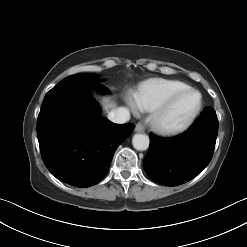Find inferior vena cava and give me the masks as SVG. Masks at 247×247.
Listing matches in <instances>:
<instances>
[{"instance_id": "1", "label": "inferior vena cava", "mask_w": 247, "mask_h": 247, "mask_svg": "<svg viewBox=\"0 0 247 247\" xmlns=\"http://www.w3.org/2000/svg\"><path fill=\"white\" fill-rule=\"evenodd\" d=\"M108 119L114 123H126L130 119V113L127 108L119 107L108 113Z\"/></svg>"}]
</instances>
